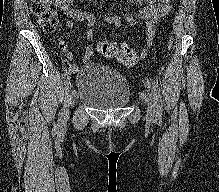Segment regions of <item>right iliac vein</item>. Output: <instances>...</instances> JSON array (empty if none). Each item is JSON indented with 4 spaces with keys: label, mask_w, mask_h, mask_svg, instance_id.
<instances>
[{
    "label": "right iliac vein",
    "mask_w": 219,
    "mask_h": 192,
    "mask_svg": "<svg viewBox=\"0 0 219 192\" xmlns=\"http://www.w3.org/2000/svg\"><path fill=\"white\" fill-rule=\"evenodd\" d=\"M76 101V93L72 90V84L69 82L66 85V98L63 106V118L68 117L69 106L73 105Z\"/></svg>",
    "instance_id": "right-iliac-vein-1"
}]
</instances>
